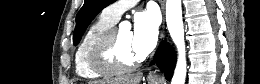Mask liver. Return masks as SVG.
Masks as SVG:
<instances>
[{
    "instance_id": "liver-1",
    "label": "liver",
    "mask_w": 260,
    "mask_h": 84,
    "mask_svg": "<svg viewBox=\"0 0 260 84\" xmlns=\"http://www.w3.org/2000/svg\"><path fill=\"white\" fill-rule=\"evenodd\" d=\"M142 74L126 75L116 79L91 82L90 84H140Z\"/></svg>"
}]
</instances>
